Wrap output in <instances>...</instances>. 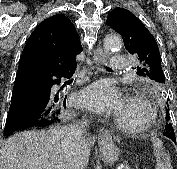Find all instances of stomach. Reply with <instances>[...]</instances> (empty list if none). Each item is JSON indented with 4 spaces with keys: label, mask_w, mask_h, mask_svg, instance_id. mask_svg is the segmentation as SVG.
I'll use <instances>...</instances> for the list:
<instances>
[{
    "label": "stomach",
    "mask_w": 177,
    "mask_h": 169,
    "mask_svg": "<svg viewBox=\"0 0 177 169\" xmlns=\"http://www.w3.org/2000/svg\"><path fill=\"white\" fill-rule=\"evenodd\" d=\"M100 153L102 160L112 166L118 160L120 150L112 142H101Z\"/></svg>",
    "instance_id": "stomach-1"
}]
</instances>
